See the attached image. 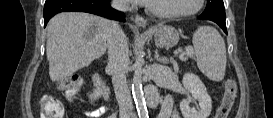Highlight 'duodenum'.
Returning a JSON list of instances; mask_svg holds the SVG:
<instances>
[{
    "instance_id": "obj_1",
    "label": "duodenum",
    "mask_w": 273,
    "mask_h": 118,
    "mask_svg": "<svg viewBox=\"0 0 273 118\" xmlns=\"http://www.w3.org/2000/svg\"><path fill=\"white\" fill-rule=\"evenodd\" d=\"M93 81L97 90L100 92L103 98L109 101L111 99L110 88L108 87V85L105 83V81L101 78V76L98 73L94 74Z\"/></svg>"
}]
</instances>
